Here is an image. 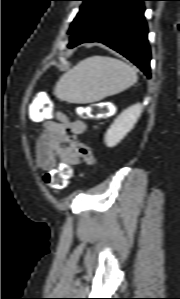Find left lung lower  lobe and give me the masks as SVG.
Here are the masks:
<instances>
[{
    "label": "left lung lower lobe",
    "instance_id": "left-lung-lower-lobe-1",
    "mask_svg": "<svg viewBox=\"0 0 180 299\" xmlns=\"http://www.w3.org/2000/svg\"><path fill=\"white\" fill-rule=\"evenodd\" d=\"M143 1L96 0L70 38L69 48L100 42L119 52L150 78V48Z\"/></svg>",
    "mask_w": 180,
    "mask_h": 299
}]
</instances>
